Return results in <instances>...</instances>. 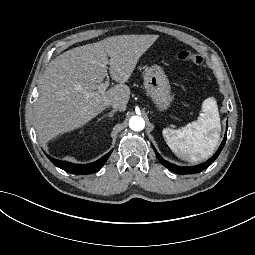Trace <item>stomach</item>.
<instances>
[{
    "instance_id": "stomach-1",
    "label": "stomach",
    "mask_w": 255,
    "mask_h": 255,
    "mask_svg": "<svg viewBox=\"0 0 255 255\" xmlns=\"http://www.w3.org/2000/svg\"><path fill=\"white\" fill-rule=\"evenodd\" d=\"M144 89L159 112H166L172 105L171 87L162 69L147 70L144 75Z\"/></svg>"
}]
</instances>
